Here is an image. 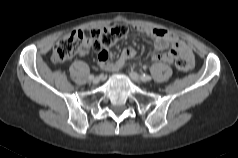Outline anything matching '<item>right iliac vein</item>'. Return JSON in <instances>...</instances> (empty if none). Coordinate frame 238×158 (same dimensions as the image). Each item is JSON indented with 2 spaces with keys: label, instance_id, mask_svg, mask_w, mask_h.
<instances>
[{
  "label": "right iliac vein",
  "instance_id": "right-iliac-vein-1",
  "mask_svg": "<svg viewBox=\"0 0 238 158\" xmlns=\"http://www.w3.org/2000/svg\"><path fill=\"white\" fill-rule=\"evenodd\" d=\"M99 81H100V79H99L98 77H95V78L92 80V82H93L94 84H98Z\"/></svg>",
  "mask_w": 238,
  "mask_h": 158
}]
</instances>
